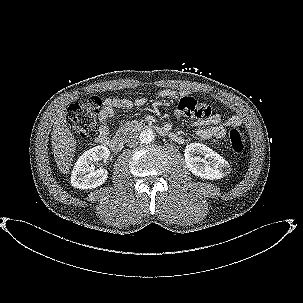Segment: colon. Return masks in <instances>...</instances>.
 Segmentation results:
<instances>
[{"mask_svg":"<svg viewBox=\"0 0 303 303\" xmlns=\"http://www.w3.org/2000/svg\"><path fill=\"white\" fill-rule=\"evenodd\" d=\"M102 101L97 96H92L86 102H74L66 113L68 124L75 130L78 139L82 142H89L96 132V117ZM179 114L187 117L201 118L205 112L201 105L190 96L183 97L177 105ZM231 148L235 152H241L246 143V134L240 129H233L229 133Z\"/></svg>","mask_w":303,"mask_h":303,"instance_id":"colon-1","label":"colon"}]
</instances>
